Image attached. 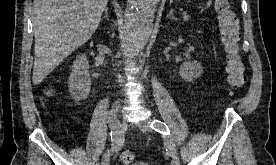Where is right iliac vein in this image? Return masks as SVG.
<instances>
[{"instance_id":"obj_1","label":"right iliac vein","mask_w":276,"mask_h":165,"mask_svg":"<svg viewBox=\"0 0 276 165\" xmlns=\"http://www.w3.org/2000/svg\"><path fill=\"white\" fill-rule=\"evenodd\" d=\"M118 107H119V104L117 102L113 104L111 110L108 113V122L110 127L114 125L115 127L119 126L121 129V124L117 117ZM110 155H111V150H107L102 157L101 165H109Z\"/></svg>"}]
</instances>
